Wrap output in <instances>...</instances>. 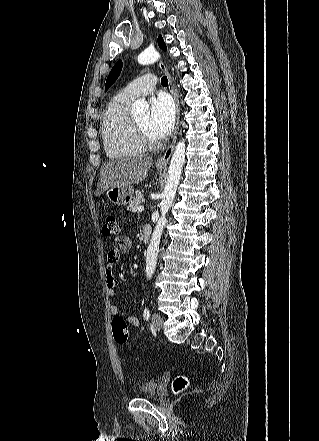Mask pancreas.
Returning <instances> with one entry per match:
<instances>
[{"instance_id": "1", "label": "pancreas", "mask_w": 319, "mask_h": 441, "mask_svg": "<svg viewBox=\"0 0 319 441\" xmlns=\"http://www.w3.org/2000/svg\"><path fill=\"white\" fill-rule=\"evenodd\" d=\"M143 198V194L140 191H136L133 200L129 203L127 207V210L136 212L137 208L142 204Z\"/></svg>"}]
</instances>
